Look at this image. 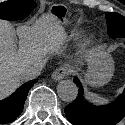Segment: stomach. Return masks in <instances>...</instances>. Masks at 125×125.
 Wrapping results in <instances>:
<instances>
[{"mask_svg":"<svg viewBox=\"0 0 125 125\" xmlns=\"http://www.w3.org/2000/svg\"><path fill=\"white\" fill-rule=\"evenodd\" d=\"M50 15L61 21V24L72 25L80 22L81 15L72 16L68 8L54 6L50 8ZM88 73L85 76L87 84L100 87L108 83L113 76L114 62L111 55L102 47L92 49L88 56Z\"/></svg>","mask_w":125,"mask_h":125,"instance_id":"stomach-1","label":"stomach"}]
</instances>
